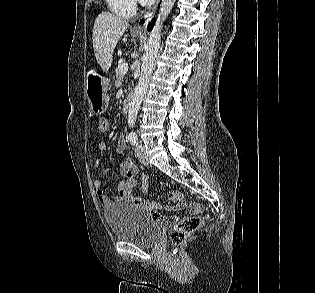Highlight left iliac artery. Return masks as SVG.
<instances>
[{
  "instance_id": "left-iliac-artery-1",
  "label": "left iliac artery",
  "mask_w": 315,
  "mask_h": 293,
  "mask_svg": "<svg viewBox=\"0 0 315 293\" xmlns=\"http://www.w3.org/2000/svg\"><path fill=\"white\" fill-rule=\"evenodd\" d=\"M128 140L131 143V145H133V146H137L138 145V137H137V134L135 132H130L129 133Z\"/></svg>"
}]
</instances>
